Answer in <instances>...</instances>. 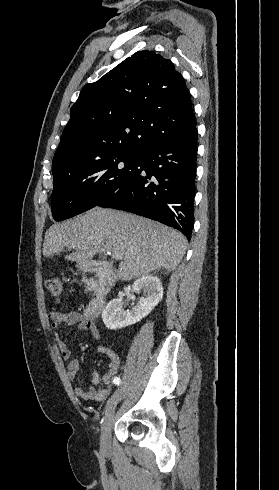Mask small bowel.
Listing matches in <instances>:
<instances>
[{
	"instance_id": "obj_1",
	"label": "small bowel",
	"mask_w": 279,
	"mask_h": 490,
	"mask_svg": "<svg viewBox=\"0 0 279 490\" xmlns=\"http://www.w3.org/2000/svg\"><path fill=\"white\" fill-rule=\"evenodd\" d=\"M48 320L53 329H57L62 325L72 326L77 325L79 328L88 331L96 340L100 339V333L92 320L86 318L81 312L74 310L51 311L48 313ZM55 340L58 342L59 351L64 360H70L72 352L65 342H63L57 333L54 334ZM99 353L107 356L110 360L108 370L100 376L94 371L91 376V385L89 387L77 386L75 394L84 400H94L97 402L104 401L111 392V388L117 378L119 370V357L109 347L99 345L97 347ZM80 364L77 360H71L68 365V378L75 380L79 375ZM102 382L105 388L98 389L97 386Z\"/></svg>"
}]
</instances>
